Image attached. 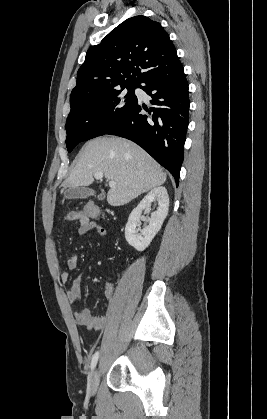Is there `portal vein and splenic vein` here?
Instances as JSON below:
<instances>
[{
  "label": "portal vein and splenic vein",
  "mask_w": 267,
  "mask_h": 419,
  "mask_svg": "<svg viewBox=\"0 0 267 419\" xmlns=\"http://www.w3.org/2000/svg\"><path fill=\"white\" fill-rule=\"evenodd\" d=\"M103 176H104V174H103L102 172H97V173H95V175H94V177H95L97 180L102 179V178H103ZM109 186H110V188H114V187L116 186V183H115L114 181H110V182H109Z\"/></svg>",
  "instance_id": "1"
}]
</instances>
